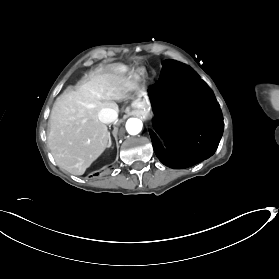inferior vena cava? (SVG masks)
<instances>
[{
  "mask_svg": "<svg viewBox=\"0 0 279 279\" xmlns=\"http://www.w3.org/2000/svg\"><path fill=\"white\" fill-rule=\"evenodd\" d=\"M115 109V108H114ZM111 108H102L100 112H98V118L102 123L109 124L111 122H116L118 117L117 109Z\"/></svg>",
  "mask_w": 279,
  "mask_h": 279,
  "instance_id": "obj_1",
  "label": "inferior vena cava"
}]
</instances>
